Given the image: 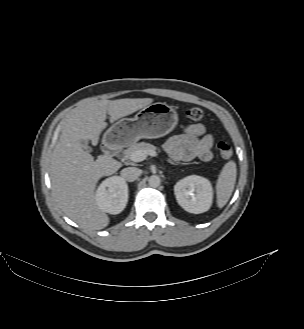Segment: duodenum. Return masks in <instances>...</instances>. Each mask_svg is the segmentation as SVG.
Returning a JSON list of instances; mask_svg holds the SVG:
<instances>
[{"mask_svg": "<svg viewBox=\"0 0 304 329\" xmlns=\"http://www.w3.org/2000/svg\"><path fill=\"white\" fill-rule=\"evenodd\" d=\"M119 150V146L110 141H106L103 145V152L106 156H115L119 153Z\"/></svg>", "mask_w": 304, "mask_h": 329, "instance_id": "obj_1", "label": "duodenum"}]
</instances>
